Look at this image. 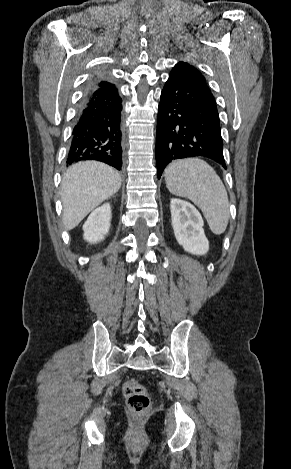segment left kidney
<instances>
[{
	"label": "left kidney",
	"instance_id": "5707ae66",
	"mask_svg": "<svg viewBox=\"0 0 291 469\" xmlns=\"http://www.w3.org/2000/svg\"><path fill=\"white\" fill-rule=\"evenodd\" d=\"M172 227L177 242L188 253L205 255L209 242L204 234L203 219L191 203L173 198L170 202Z\"/></svg>",
	"mask_w": 291,
	"mask_h": 469
}]
</instances>
